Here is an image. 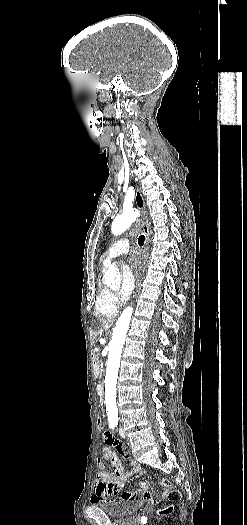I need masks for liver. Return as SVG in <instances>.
Segmentation results:
<instances>
[{"label":"liver","instance_id":"1","mask_svg":"<svg viewBox=\"0 0 247 525\" xmlns=\"http://www.w3.org/2000/svg\"><path fill=\"white\" fill-rule=\"evenodd\" d=\"M114 321H105L104 325H103V331H108V329H110V327H112Z\"/></svg>","mask_w":247,"mask_h":525}]
</instances>
